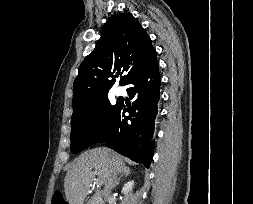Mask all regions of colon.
Listing matches in <instances>:
<instances>
[{"label":"colon","instance_id":"5ec220e1","mask_svg":"<svg viewBox=\"0 0 253 204\" xmlns=\"http://www.w3.org/2000/svg\"><path fill=\"white\" fill-rule=\"evenodd\" d=\"M52 204H66L64 196L61 192L55 191L53 193Z\"/></svg>","mask_w":253,"mask_h":204}]
</instances>
